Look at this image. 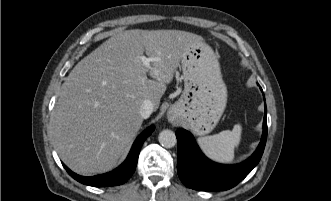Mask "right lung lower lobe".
<instances>
[{
  "instance_id": "right-lung-lower-lobe-1",
  "label": "right lung lower lobe",
  "mask_w": 331,
  "mask_h": 201,
  "mask_svg": "<svg viewBox=\"0 0 331 201\" xmlns=\"http://www.w3.org/2000/svg\"><path fill=\"white\" fill-rule=\"evenodd\" d=\"M153 131H154V126H151L147 128L145 131H143L134 142L133 147L125 162L115 170L108 172L106 174L97 175L93 177H84L75 174L64 164L63 166L71 177H73L75 180L85 185L94 186V187H105V186H116L123 184L134 173L141 147L144 141L146 140V138L150 136V134Z\"/></svg>"
}]
</instances>
